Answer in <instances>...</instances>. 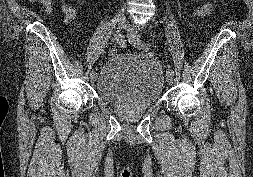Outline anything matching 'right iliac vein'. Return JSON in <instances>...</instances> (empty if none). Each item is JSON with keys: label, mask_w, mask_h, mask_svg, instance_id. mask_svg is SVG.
<instances>
[{"label": "right iliac vein", "mask_w": 253, "mask_h": 177, "mask_svg": "<svg viewBox=\"0 0 253 177\" xmlns=\"http://www.w3.org/2000/svg\"><path fill=\"white\" fill-rule=\"evenodd\" d=\"M116 22H117V24H118V28H119L120 30H122V29L124 28V26H125V23H126V19H125V17H124V15H123L122 12H119V13L116 15ZM96 78H97V73H96L95 71H92V72L90 73V80H91V82L96 81Z\"/></svg>", "instance_id": "1"}]
</instances>
